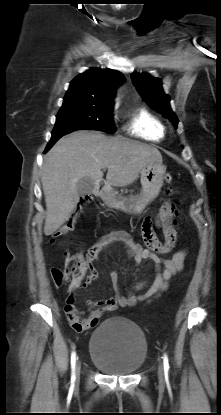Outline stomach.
<instances>
[{"label": "stomach", "mask_w": 221, "mask_h": 415, "mask_svg": "<svg viewBox=\"0 0 221 415\" xmlns=\"http://www.w3.org/2000/svg\"><path fill=\"white\" fill-rule=\"evenodd\" d=\"M166 168L162 163H152L145 166L141 174V193L139 195L116 197L112 192L103 193L106 204L128 214H140L146 206L153 201L160 193L163 186Z\"/></svg>", "instance_id": "1"}]
</instances>
